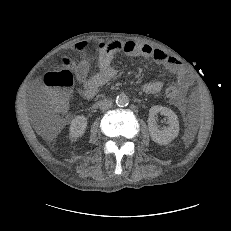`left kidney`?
Instances as JSON below:
<instances>
[{"label": "left kidney", "instance_id": "obj_1", "mask_svg": "<svg viewBox=\"0 0 231 231\" xmlns=\"http://www.w3.org/2000/svg\"><path fill=\"white\" fill-rule=\"evenodd\" d=\"M160 113L168 118V127L160 130L156 122V115ZM148 127L151 139L161 145L170 143L178 136L179 122L177 115L169 108L152 106L149 110Z\"/></svg>", "mask_w": 231, "mask_h": 231}]
</instances>
